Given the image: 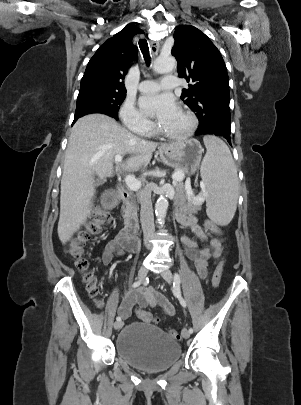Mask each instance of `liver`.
<instances>
[{
	"label": "liver",
	"instance_id": "1",
	"mask_svg": "<svg viewBox=\"0 0 301 405\" xmlns=\"http://www.w3.org/2000/svg\"><path fill=\"white\" fill-rule=\"evenodd\" d=\"M157 147L109 116L91 114L78 119L71 130L61 178L60 240H69L89 217L96 192L94 176L111 177L115 155H129L117 171L135 172L149 164Z\"/></svg>",
	"mask_w": 301,
	"mask_h": 405
}]
</instances>
